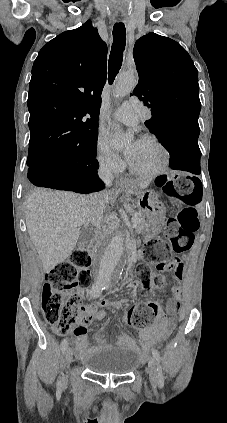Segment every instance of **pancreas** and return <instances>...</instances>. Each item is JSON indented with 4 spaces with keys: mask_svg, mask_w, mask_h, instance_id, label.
I'll return each instance as SVG.
<instances>
[{
    "mask_svg": "<svg viewBox=\"0 0 227 423\" xmlns=\"http://www.w3.org/2000/svg\"><path fill=\"white\" fill-rule=\"evenodd\" d=\"M133 217H137L134 229L135 231H137V233H141L146 223L145 215H143V213H136V215H133ZM96 229L99 235H106V233H112V225L111 223H108V219H104V221H102L100 225H97Z\"/></svg>",
    "mask_w": 227,
    "mask_h": 423,
    "instance_id": "cf45deb5",
    "label": "pancreas"
}]
</instances>
